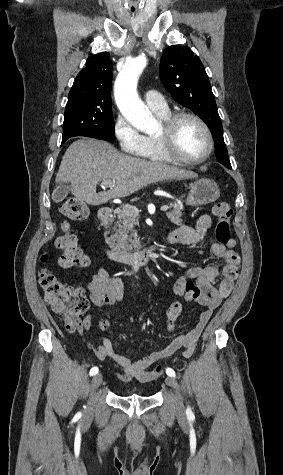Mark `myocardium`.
Returning <instances> with one entry per match:
<instances>
[{
  "label": "myocardium",
  "mask_w": 283,
  "mask_h": 475,
  "mask_svg": "<svg viewBox=\"0 0 283 475\" xmlns=\"http://www.w3.org/2000/svg\"><path fill=\"white\" fill-rule=\"evenodd\" d=\"M190 118L195 120L200 124L202 129L205 132L206 139H207V148L206 151L197 157L193 158H183V157H171L168 155L165 149L166 144H173L174 142V135L176 132V127L178 123L184 119ZM158 139V150L160 156L162 157L163 162H203L208 159L214 150V142L211 130L206 122L197 114L191 112H175L172 113L164 122V127L162 129L161 135L157 136Z\"/></svg>",
  "instance_id": "myocardium-1"
}]
</instances>
